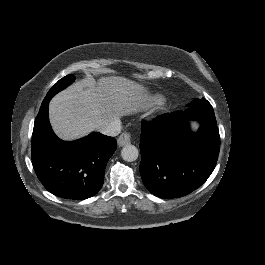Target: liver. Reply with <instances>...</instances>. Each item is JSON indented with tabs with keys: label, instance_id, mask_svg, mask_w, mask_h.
I'll return each mask as SVG.
<instances>
[{
	"label": "liver",
	"instance_id": "1",
	"mask_svg": "<svg viewBox=\"0 0 265 265\" xmlns=\"http://www.w3.org/2000/svg\"><path fill=\"white\" fill-rule=\"evenodd\" d=\"M148 90L121 76L88 75L50 102L49 118L55 133L64 140L88 134L122 116L147 108Z\"/></svg>",
	"mask_w": 265,
	"mask_h": 265
}]
</instances>
